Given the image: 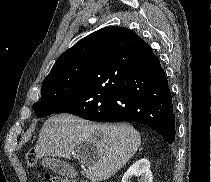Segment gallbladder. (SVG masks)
Returning <instances> with one entry per match:
<instances>
[{"instance_id": "obj_1", "label": "gallbladder", "mask_w": 211, "mask_h": 182, "mask_svg": "<svg viewBox=\"0 0 211 182\" xmlns=\"http://www.w3.org/2000/svg\"><path fill=\"white\" fill-rule=\"evenodd\" d=\"M90 148H91V153L96 156V152L95 149L93 147V145L89 144ZM86 144L83 143L79 146L76 147V154L77 157L81 160H84V157L82 155V152H84L86 149ZM42 165L46 168L51 169L53 172L59 174V175H63L66 177H70L73 178L76 176V171L74 170V168L69 165L68 163L60 160L59 158L56 157H45L42 159Z\"/></svg>"}]
</instances>
